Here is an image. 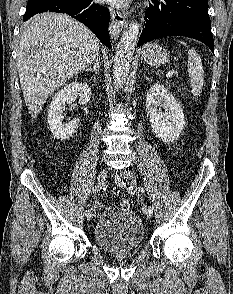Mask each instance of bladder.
Listing matches in <instances>:
<instances>
[{
  "instance_id": "31cf9c89",
  "label": "bladder",
  "mask_w": 233,
  "mask_h": 294,
  "mask_svg": "<svg viewBox=\"0 0 233 294\" xmlns=\"http://www.w3.org/2000/svg\"><path fill=\"white\" fill-rule=\"evenodd\" d=\"M96 245L112 255L137 251L144 241V229L139 217L131 210L113 207L105 210L93 230Z\"/></svg>"
}]
</instances>
